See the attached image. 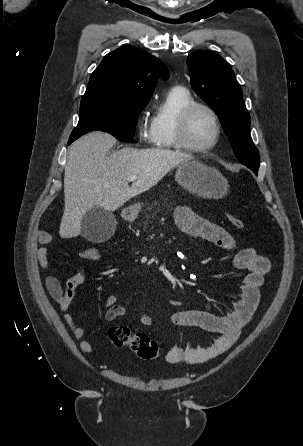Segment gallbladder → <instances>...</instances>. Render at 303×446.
I'll return each mask as SVG.
<instances>
[{
  "label": "gallbladder",
  "instance_id": "obj_1",
  "mask_svg": "<svg viewBox=\"0 0 303 446\" xmlns=\"http://www.w3.org/2000/svg\"><path fill=\"white\" fill-rule=\"evenodd\" d=\"M116 224V219L111 212L94 207L84 215L81 221V235L89 241L102 242L113 235Z\"/></svg>",
  "mask_w": 303,
  "mask_h": 446
}]
</instances>
